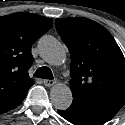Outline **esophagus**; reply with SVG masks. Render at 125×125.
Wrapping results in <instances>:
<instances>
[{
  "mask_svg": "<svg viewBox=\"0 0 125 125\" xmlns=\"http://www.w3.org/2000/svg\"><path fill=\"white\" fill-rule=\"evenodd\" d=\"M57 82L55 80H49V79H45L43 80V84L47 87H52L56 84Z\"/></svg>",
  "mask_w": 125,
  "mask_h": 125,
  "instance_id": "obj_1",
  "label": "esophagus"
}]
</instances>
